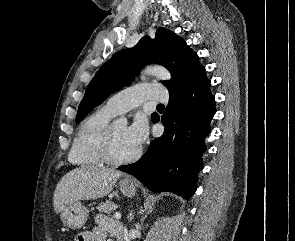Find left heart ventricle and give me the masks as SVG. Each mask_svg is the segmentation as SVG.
<instances>
[{
	"instance_id": "b2bd125f",
	"label": "left heart ventricle",
	"mask_w": 295,
	"mask_h": 241,
	"mask_svg": "<svg viewBox=\"0 0 295 241\" xmlns=\"http://www.w3.org/2000/svg\"><path fill=\"white\" fill-rule=\"evenodd\" d=\"M136 146L127 134V126L124 123H115L113 138V155L117 158H125L133 155L137 150Z\"/></svg>"
}]
</instances>
